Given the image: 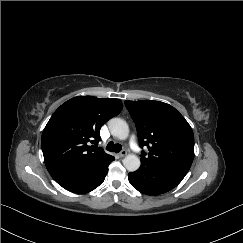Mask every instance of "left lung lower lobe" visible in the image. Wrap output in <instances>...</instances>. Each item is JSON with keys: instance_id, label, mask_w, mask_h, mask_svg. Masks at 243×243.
<instances>
[{"instance_id": "left-lung-lower-lobe-1", "label": "left lung lower lobe", "mask_w": 243, "mask_h": 243, "mask_svg": "<svg viewBox=\"0 0 243 243\" xmlns=\"http://www.w3.org/2000/svg\"><path fill=\"white\" fill-rule=\"evenodd\" d=\"M191 164L172 162L154 167H144L129 173L130 184L146 195H159L176 187L187 174Z\"/></svg>"}]
</instances>
